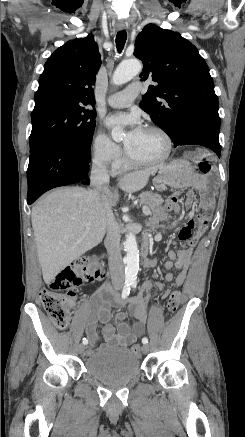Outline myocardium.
<instances>
[{"instance_id": "obj_1", "label": "myocardium", "mask_w": 245, "mask_h": 437, "mask_svg": "<svg viewBox=\"0 0 245 437\" xmlns=\"http://www.w3.org/2000/svg\"><path fill=\"white\" fill-rule=\"evenodd\" d=\"M145 130L154 131L158 133L163 141H164V151L163 153L153 159H137L132 157L128 151H126V159L129 163L133 165H139V166H149V165H157L165 162L171 155L172 149H173V141L170 137L169 133L162 127L158 125H147L144 127Z\"/></svg>"}]
</instances>
